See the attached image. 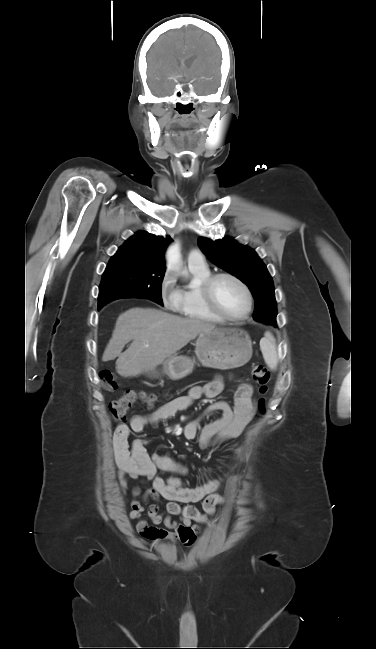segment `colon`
<instances>
[{"label":"colon","instance_id":"obj_1","mask_svg":"<svg viewBox=\"0 0 376 649\" xmlns=\"http://www.w3.org/2000/svg\"><path fill=\"white\" fill-rule=\"evenodd\" d=\"M252 377L258 385V391L262 398L259 400V411L265 413L266 404L263 396L268 392V383L270 379V372L266 366L262 364L254 365L252 368ZM102 383L105 389L114 390L118 387L116 375L109 370H105L101 374ZM140 399H143L145 404H150L153 400L152 395H146L136 390L126 389L120 398L114 400L109 406L110 415L115 419H122L125 417L127 411Z\"/></svg>","mask_w":376,"mask_h":649}]
</instances>
